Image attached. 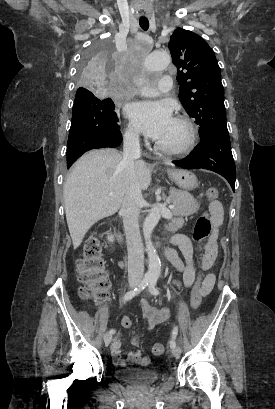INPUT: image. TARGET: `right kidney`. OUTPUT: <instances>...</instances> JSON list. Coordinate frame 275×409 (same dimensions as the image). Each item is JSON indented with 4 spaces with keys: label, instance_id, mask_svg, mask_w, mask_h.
Listing matches in <instances>:
<instances>
[{
    "label": "right kidney",
    "instance_id": "1",
    "mask_svg": "<svg viewBox=\"0 0 275 409\" xmlns=\"http://www.w3.org/2000/svg\"><path fill=\"white\" fill-rule=\"evenodd\" d=\"M107 235H109L108 241H110V243H113V241H114L113 235H110V233H107Z\"/></svg>",
    "mask_w": 275,
    "mask_h": 409
}]
</instances>
